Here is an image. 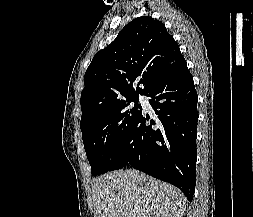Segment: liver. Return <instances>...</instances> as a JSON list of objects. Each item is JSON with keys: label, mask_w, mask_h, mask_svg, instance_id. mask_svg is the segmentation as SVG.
<instances>
[{"label": "liver", "mask_w": 253, "mask_h": 217, "mask_svg": "<svg viewBox=\"0 0 253 217\" xmlns=\"http://www.w3.org/2000/svg\"><path fill=\"white\" fill-rule=\"evenodd\" d=\"M185 206L177 188L137 170H118L93 180L94 217H183Z\"/></svg>", "instance_id": "1"}]
</instances>
